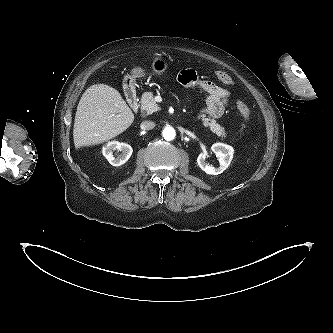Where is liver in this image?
I'll list each match as a JSON object with an SVG mask.
<instances>
[{
  "label": "liver",
  "mask_w": 333,
  "mask_h": 333,
  "mask_svg": "<svg viewBox=\"0 0 333 333\" xmlns=\"http://www.w3.org/2000/svg\"><path fill=\"white\" fill-rule=\"evenodd\" d=\"M134 114L121 94L106 84H94L83 93L75 115V148L100 144L124 132Z\"/></svg>",
  "instance_id": "6515ba94"
}]
</instances>
